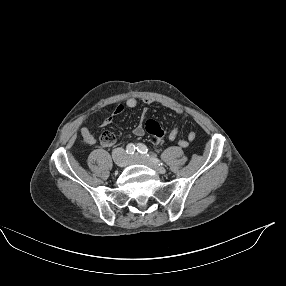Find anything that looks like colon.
Wrapping results in <instances>:
<instances>
[{
    "mask_svg": "<svg viewBox=\"0 0 286 286\" xmlns=\"http://www.w3.org/2000/svg\"><path fill=\"white\" fill-rule=\"evenodd\" d=\"M147 139L154 144L162 143L167 136L166 128L154 120H148L145 123ZM101 143L111 145L115 142V134L111 131H105L101 135Z\"/></svg>",
    "mask_w": 286,
    "mask_h": 286,
    "instance_id": "1",
    "label": "colon"
}]
</instances>
